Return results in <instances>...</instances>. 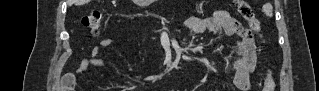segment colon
Here are the masks:
<instances>
[{"label":"colon","mask_w":319,"mask_h":91,"mask_svg":"<svg viewBox=\"0 0 319 91\" xmlns=\"http://www.w3.org/2000/svg\"><path fill=\"white\" fill-rule=\"evenodd\" d=\"M238 13L248 22L250 29L255 32H260V24L256 19L251 6L243 0L235 1ZM82 26L93 35H98L103 27V13L100 9H92L81 18ZM275 83L272 74L268 72L264 81L263 91H273Z\"/></svg>","instance_id":"5ec220e1"}]
</instances>
